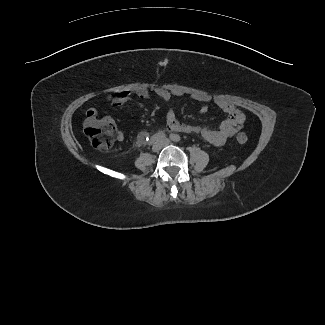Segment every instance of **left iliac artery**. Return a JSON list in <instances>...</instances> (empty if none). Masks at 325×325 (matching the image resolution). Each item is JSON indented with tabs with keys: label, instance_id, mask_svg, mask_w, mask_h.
<instances>
[{
	"label": "left iliac artery",
	"instance_id": "obj_1",
	"mask_svg": "<svg viewBox=\"0 0 325 325\" xmlns=\"http://www.w3.org/2000/svg\"><path fill=\"white\" fill-rule=\"evenodd\" d=\"M170 139L175 142L180 141V137L177 134H171Z\"/></svg>",
	"mask_w": 325,
	"mask_h": 325
}]
</instances>
